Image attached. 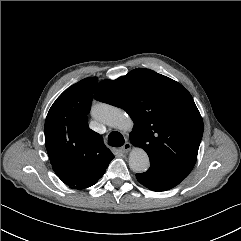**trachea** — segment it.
Returning a JSON list of instances; mask_svg holds the SVG:
<instances>
[{
	"label": "trachea",
	"instance_id": "trachea-1",
	"mask_svg": "<svg viewBox=\"0 0 241 241\" xmlns=\"http://www.w3.org/2000/svg\"><path fill=\"white\" fill-rule=\"evenodd\" d=\"M108 144L113 147H121L124 144V137L121 133L113 131L108 136Z\"/></svg>",
	"mask_w": 241,
	"mask_h": 241
}]
</instances>
